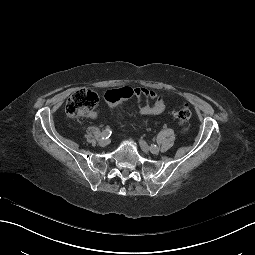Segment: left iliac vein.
<instances>
[{
    "label": "left iliac vein",
    "instance_id": "4c4485c4",
    "mask_svg": "<svg viewBox=\"0 0 255 255\" xmlns=\"http://www.w3.org/2000/svg\"><path fill=\"white\" fill-rule=\"evenodd\" d=\"M139 144H140L141 149L145 153H148L149 151H151V153H153V154H158L159 153V148L158 147L150 149L148 144L142 139L139 141Z\"/></svg>",
    "mask_w": 255,
    "mask_h": 255
}]
</instances>
